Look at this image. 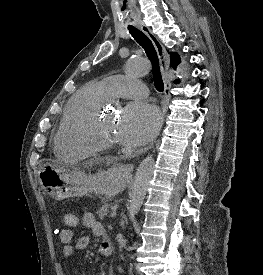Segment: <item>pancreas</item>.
Listing matches in <instances>:
<instances>
[{
  "instance_id": "pancreas-1",
  "label": "pancreas",
  "mask_w": 263,
  "mask_h": 275,
  "mask_svg": "<svg viewBox=\"0 0 263 275\" xmlns=\"http://www.w3.org/2000/svg\"><path fill=\"white\" fill-rule=\"evenodd\" d=\"M100 199L103 205L96 213L100 219H104L109 212L110 204H108V197H101Z\"/></svg>"
}]
</instances>
